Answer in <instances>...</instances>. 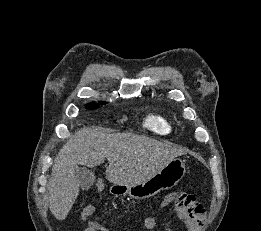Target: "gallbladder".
I'll list each match as a JSON object with an SVG mask.
<instances>
[{
    "instance_id": "1",
    "label": "gallbladder",
    "mask_w": 261,
    "mask_h": 231,
    "mask_svg": "<svg viewBox=\"0 0 261 231\" xmlns=\"http://www.w3.org/2000/svg\"><path fill=\"white\" fill-rule=\"evenodd\" d=\"M76 179L82 190H88L95 181V173L85 167H79L76 170Z\"/></svg>"
}]
</instances>
